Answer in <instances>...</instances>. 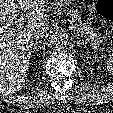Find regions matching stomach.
I'll return each instance as SVG.
<instances>
[{
	"label": "stomach",
	"instance_id": "0dacf381",
	"mask_svg": "<svg viewBox=\"0 0 113 113\" xmlns=\"http://www.w3.org/2000/svg\"><path fill=\"white\" fill-rule=\"evenodd\" d=\"M73 1H75V0H60V2H62L64 5H69Z\"/></svg>",
	"mask_w": 113,
	"mask_h": 113
}]
</instances>
